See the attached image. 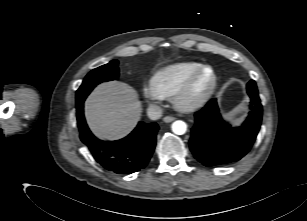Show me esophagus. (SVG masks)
<instances>
[{"instance_id": "esophagus-1", "label": "esophagus", "mask_w": 307, "mask_h": 221, "mask_svg": "<svg viewBox=\"0 0 307 221\" xmlns=\"http://www.w3.org/2000/svg\"><path fill=\"white\" fill-rule=\"evenodd\" d=\"M174 120H175V117H173V116H165L163 118V121L166 122V123H170V122H172Z\"/></svg>"}]
</instances>
